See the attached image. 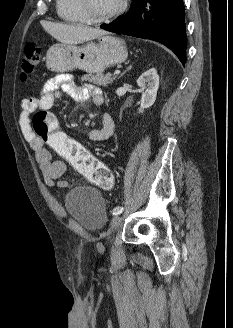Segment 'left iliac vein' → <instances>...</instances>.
I'll return each instance as SVG.
<instances>
[{"label": "left iliac vein", "instance_id": "obj_1", "mask_svg": "<svg viewBox=\"0 0 233 328\" xmlns=\"http://www.w3.org/2000/svg\"><path fill=\"white\" fill-rule=\"evenodd\" d=\"M122 220L123 216H115L110 222V229L114 232Z\"/></svg>", "mask_w": 233, "mask_h": 328}]
</instances>
